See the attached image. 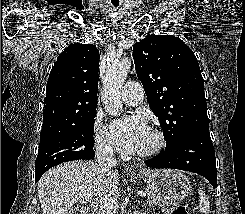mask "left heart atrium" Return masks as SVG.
Instances as JSON below:
<instances>
[{"label": "left heart atrium", "mask_w": 245, "mask_h": 214, "mask_svg": "<svg viewBox=\"0 0 245 214\" xmlns=\"http://www.w3.org/2000/svg\"><path fill=\"white\" fill-rule=\"evenodd\" d=\"M146 122L140 116L112 123V133L118 145L124 151H134L146 135Z\"/></svg>", "instance_id": "obj_1"}]
</instances>
